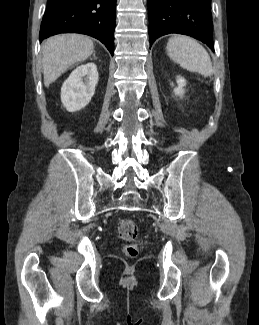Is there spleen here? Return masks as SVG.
<instances>
[{
	"label": "spleen",
	"mask_w": 259,
	"mask_h": 325,
	"mask_svg": "<svg viewBox=\"0 0 259 325\" xmlns=\"http://www.w3.org/2000/svg\"><path fill=\"white\" fill-rule=\"evenodd\" d=\"M167 54L182 68L210 77L213 73L212 62L206 49L187 36H175L168 40Z\"/></svg>",
	"instance_id": "spleen-1"
}]
</instances>
